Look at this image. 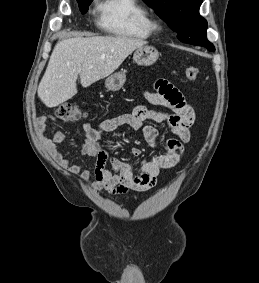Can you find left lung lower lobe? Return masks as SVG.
I'll return each mask as SVG.
<instances>
[{
    "label": "left lung lower lobe",
    "mask_w": 259,
    "mask_h": 283,
    "mask_svg": "<svg viewBox=\"0 0 259 283\" xmlns=\"http://www.w3.org/2000/svg\"><path fill=\"white\" fill-rule=\"evenodd\" d=\"M209 51H214L215 50V48H214V46L213 45H211V46H207L206 47Z\"/></svg>",
    "instance_id": "0a47b994"
}]
</instances>
